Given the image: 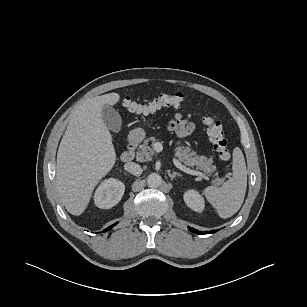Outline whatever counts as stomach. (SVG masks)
Wrapping results in <instances>:
<instances>
[{
	"label": "stomach",
	"instance_id": "obj_1",
	"mask_svg": "<svg viewBox=\"0 0 307 307\" xmlns=\"http://www.w3.org/2000/svg\"><path fill=\"white\" fill-rule=\"evenodd\" d=\"M134 134H135L136 136L142 137V136L144 135V132H143V130H141V129H136V130L134 131Z\"/></svg>",
	"mask_w": 307,
	"mask_h": 307
}]
</instances>
